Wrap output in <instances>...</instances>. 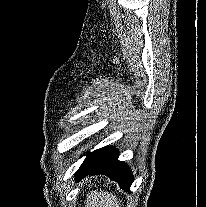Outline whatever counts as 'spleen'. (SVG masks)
I'll return each mask as SVG.
<instances>
[{"label": "spleen", "instance_id": "3e777b00", "mask_svg": "<svg viewBox=\"0 0 206 207\" xmlns=\"http://www.w3.org/2000/svg\"><path fill=\"white\" fill-rule=\"evenodd\" d=\"M85 207H120V202L116 195L95 190L87 194Z\"/></svg>", "mask_w": 206, "mask_h": 207}]
</instances>
